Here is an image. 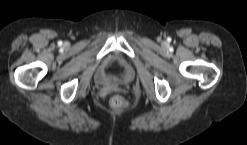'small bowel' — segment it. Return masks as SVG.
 <instances>
[{"label": "small bowel", "mask_w": 247, "mask_h": 145, "mask_svg": "<svg viewBox=\"0 0 247 145\" xmlns=\"http://www.w3.org/2000/svg\"><path fill=\"white\" fill-rule=\"evenodd\" d=\"M111 78H112V80H114V81H116V82H120V81H121V79H120V78L115 77V76H112Z\"/></svg>", "instance_id": "1"}]
</instances>
